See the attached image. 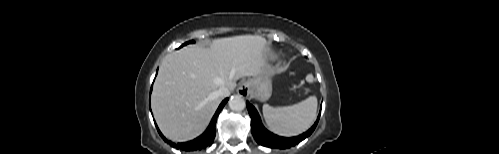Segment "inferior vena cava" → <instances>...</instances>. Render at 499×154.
<instances>
[{"instance_id": "inferior-vena-cava-1", "label": "inferior vena cava", "mask_w": 499, "mask_h": 154, "mask_svg": "<svg viewBox=\"0 0 499 154\" xmlns=\"http://www.w3.org/2000/svg\"><path fill=\"white\" fill-rule=\"evenodd\" d=\"M217 96L218 97H221V98H224V97H227L230 95V91L228 90L227 87L225 86H221L218 90H217Z\"/></svg>"}]
</instances>
